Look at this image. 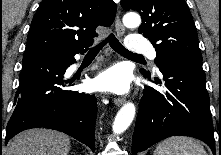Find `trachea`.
<instances>
[{"mask_svg":"<svg viewBox=\"0 0 221 155\" xmlns=\"http://www.w3.org/2000/svg\"><path fill=\"white\" fill-rule=\"evenodd\" d=\"M109 42L111 48L115 50L118 54L124 56V57H131V58H142V55L134 54L127 49L119 42V40L115 37L114 34H110L104 41L100 42L96 46H94L90 52L98 53L103 46Z\"/></svg>","mask_w":221,"mask_h":155,"instance_id":"trachea-1","label":"trachea"}]
</instances>
